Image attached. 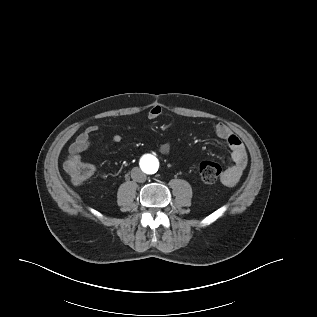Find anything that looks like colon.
Wrapping results in <instances>:
<instances>
[{"mask_svg": "<svg viewBox=\"0 0 317 317\" xmlns=\"http://www.w3.org/2000/svg\"><path fill=\"white\" fill-rule=\"evenodd\" d=\"M66 169L74 184H82L93 175V165L82 161H68ZM199 176L204 183H214L221 174V167L213 161H204L198 168Z\"/></svg>", "mask_w": 317, "mask_h": 317, "instance_id": "5ec220e1", "label": "colon"}]
</instances>
